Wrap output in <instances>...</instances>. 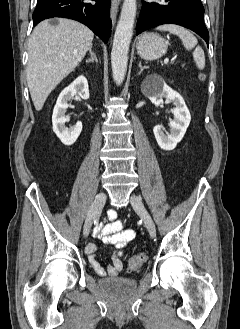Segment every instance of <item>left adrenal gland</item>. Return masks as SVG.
I'll use <instances>...</instances> for the list:
<instances>
[{
  "label": "left adrenal gland",
  "instance_id": "left-adrenal-gland-1",
  "mask_svg": "<svg viewBox=\"0 0 240 329\" xmlns=\"http://www.w3.org/2000/svg\"><path fill=\"white\" fill-rule=\"evenodd\" d=\"M139 69H140V71H139V73L138 74H140L144 69H147L148 67L147 66H142V64H141V62H139Z\"/></svg>",
  "mask_w": 240,
  "mask_h": 329
}]
</instances>
